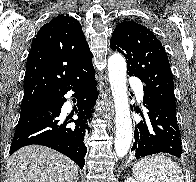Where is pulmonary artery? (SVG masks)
<instances>
[{
	"label": "pulmonary artery",
	"mask_w": 196,
	"mask_h": 182,
	"mask_svg": "<svg viewBox=\"0 0 196 182\" xmlns=\"http://www.w3.org/2000/svg\"><path fill=\"white\" fill-rule=\"evenodd\" d=\"M133 83H134V84H137V81L134 80ZM135 92H136L137 98H138L140 101H142V100H143V91H142L140 88H136V89H135Z\"/></svg>",
	"instance_id": "pulmonary-artery-1"
}]
</instances>
